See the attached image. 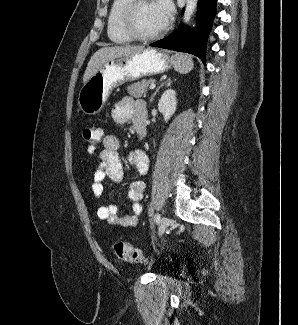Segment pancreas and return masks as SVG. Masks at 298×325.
Returning a JSON list of instances; mask_svg holds the SVG:
<instances>
[{"label": "pancreas", "mask_w": 298, "mask_h": 325, "mask_svg": "<svg viewBox=\"0 0 298 325\" xmlns=\"http://www.w3.org/2000/svg\"><path fill=\"white\" fill-rule=\"evenodd\" d=\"M155 82V78H143L140 82H133V84H129L127 86V90L131 96H136V98H140V96H146L148 92L149 84H153Z\"/></svg>", "instance_id": "cf45deb5"}]
</instances>
